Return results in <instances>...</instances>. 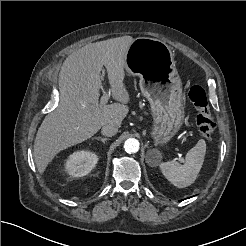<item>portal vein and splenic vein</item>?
Listing matches in <instances>:
<instances>
[{
  "instance_id": "portal-vein-and-splenic-vein-1",
  "label": "portal vein and splenic vein",
  "mask_w": 246,
  "mask_h": 246,
  "mask_svg": "<svg viewBox=\"0 0 246 246\" xmlns=\"http://www.w3.org/2000/svg\"><path fill=\"white\" fill-rule=\"evenodd\" d=\"M108 99H109V94H107L106 92H104L103 96L100 99V105L101 106L106 105V103L108 102ZM180 161L181 162H184V159L183 158H180Z\"/></svg>"
}]
</instances>
